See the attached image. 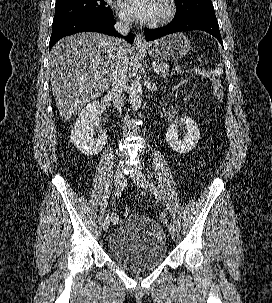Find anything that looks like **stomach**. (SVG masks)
<instances>
[{"instance_id":"0dacf381","label":"stomach","mask_w":272,"mask_h":303,"mask_svg":"<svg viewBox=\"0 0 272 303\" xmlns=\"http://www.w3.org/2000/svg\"><path fill=\"white\" fill-rule=\"evenodd\" d=\"M190 48L188 38L182 33H175L155 41L153 45L141 49V51L159 61H170L183 58Z\"/></svg>"}]
</instances>
